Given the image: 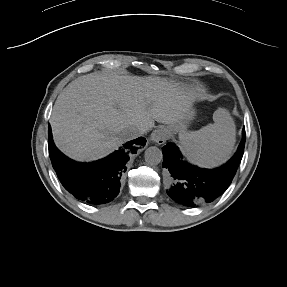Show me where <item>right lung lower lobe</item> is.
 Here are the masks:
<instances>
[{
    "label": "right lung lower lobe",
    "mask_w": 287,
    "mask_h": 287,
    "mask_svg": "<svg viewBox=\"0 0 287 287\" xmlns=\"http://www.w3.org/2000/svg\"><path fill=\"white\" fill-rule=\"evenodd\" d=\"M146 144L144 137L130 141L124 145L132 153L137 147L132 145ZM48 147L52 166L65 189L74 197L90 204H103L112 201L120 191V180L126 171L128 153L124 150L115 151L108 157L91 162L77 163L55 146L51 127L48 128Z\"/></svg>",
    "instance_id": "98d812e1"
}]
</instances>
